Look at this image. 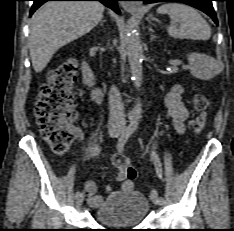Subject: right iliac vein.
Masks as SVG:
<instances>
[{
    "instance_id": "63e3f726",
    "label": "right iliac vein",
    "mask_w": 234,
    "mask_h": 231,
    "mask_svg": "<svg viewBox=\"0 0 234 231\" xmlns=\"http://www.w3.org/2000/svg\"><path fill=\"white\" fill-rule=\"evenodd\" d=\"M109 135H110L111 137H117V136L119 135V130L116 129V128H111V129L109 130ZM83 201H84V196H83V194H82V195H80L79 197L76 198V205H77V206H81L82 203H83Z\"/></svg>"
}]
</instances>
